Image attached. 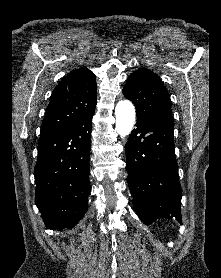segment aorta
<instances>
[{
  "instance_id": "762f6f07",
  "label": "aorta",
  "mask_w": 221,
  "mask_h": 278,
  "mask_svg": "<svg viewBox=\"0 0 221 278\" xmlns=\"http://www.w3.org/2000/svg\"><path fill=\"white\" fill-rule=\"evenodd\" d=\"M115 130L121 137L130 134L135 123V108L128 100L118 102L115 108Z\"/></svg>"
}]
</instances>
